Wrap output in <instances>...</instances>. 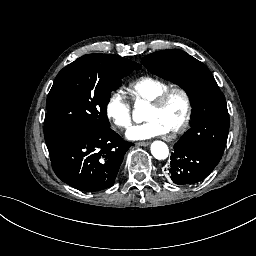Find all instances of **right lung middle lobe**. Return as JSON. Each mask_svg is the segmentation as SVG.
<instances>
[{"mask_svg": "<svg viewBox=\"0 0 256 256\" xmlns=\"http://www.w3.org/2000/svg\"><path fill=\"white\" fill-rule=\"evenodd\" d=\"M131 60L92 54L78 58L57 75L47 98L46 143L60 137L78 138L110 129L107 104L121 78L140 69Z\"/></svg>", "mask_w": 256, "mask_h": 256, "instance_id": "obj_1", "label": "right lung middle lobe"}]
</instances>
